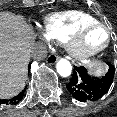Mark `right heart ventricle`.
<instances>
[{
  "label": "right heart ventricle",
  "mask_w": 117,
  "mask_h": 117,
  "mask_svg": "<svg viewBox=\"0 0 117 117\" xmlns=\"http://www.w3.org/2000/svg\"><path fill=\"white\" fill-rule=\"evenodd\" d=\"M97 21V18L91 14L70 10L47 16L43 27L47 35L52 39L66 42L81 27Z\"/></svg>",
  "instance_id": "obj_1"
}]
</instances>
